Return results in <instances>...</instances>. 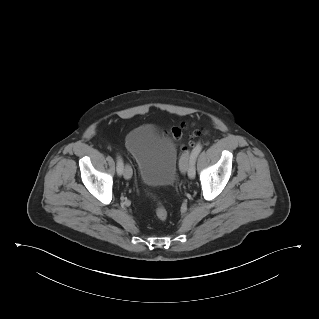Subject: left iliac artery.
<instances>
[{
  "instance_id": "left-iliac-artery-1",
  "label": "left iliac artery",
  "mask_w": 319,
  "mask_h": 319,
  "mask_svg": "<svg viewBox=\"0 0 319 319\" xmlns=\"http://www.w3.org/2000/svg\"><path fill=\"white\" fill-rule=\"evenodd\" d=\"M202 145L198 144L191 152L189 157V163H188V173L191 178L195 177L196 171H195V162L196 158L199 155V153L202 150Z\"/></svg>"
}]
</instances>
